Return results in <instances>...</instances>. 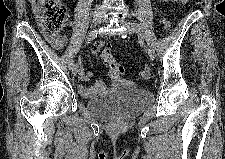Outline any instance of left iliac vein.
Here are the masks:
<instances>
[{
  "mask_svg": "<svg viewBox=\"0 0 225 159\" xmlns=\"http://www.w3.org/2000/svg\"><path fill=\"white\" fill-rule=\"evenodd\" d=\"M120 23L123 26H125L128 29L129 32L137 34L141 39L145 38V35L143 33L139 32L136 28H134L133 27V23H131L130 21H128V20H120ZM146 48H147V53H148L150 59L153 60L155 58V56H156L155 49L149 43L147 44Z\"/></svg>",
  "mask_w": 225,
  "mask_h": 159,
  "instance_id": "4c4485c4",
  "label": "left iliac vein"
}]
</instances>
